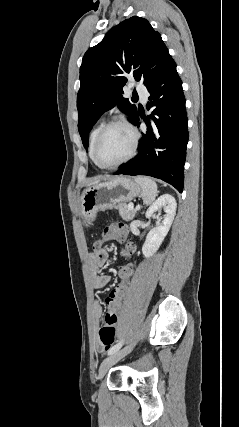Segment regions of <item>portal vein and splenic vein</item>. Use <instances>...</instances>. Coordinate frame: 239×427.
I'll return each mask as SVG.
<instances>
[{"mask_svg": "<svg viewBox=\"0 0 239 427\" xmlns=\"http://www.w3.org/2000/svg\"><path fill=\"white\" fill-rule=\"evenodd\" d=\"M128 207H129V209H130V210H132V209H134V204L130 203V204L128 205Z\"/></svg>", "mask_w": 239, "mask_h": 427, "instance_id": "1", "label": "portal vein and splenic vein"}]
</instances>
